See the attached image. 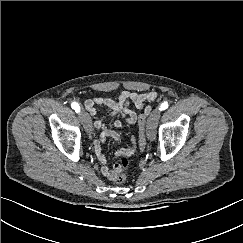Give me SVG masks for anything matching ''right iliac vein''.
<instances>
[{
	"label": "right iliac vein",
	"instance_id": "right-iliac-vein-1",
	"mask_svg": "<svg viewBox=\"0 0 243 243\" xmlns=\"http://www.w3.org/2000/svg\"><path fill=\"white\" fill-rule=\"evenodd\" d=\"M80 119L85 131L90 135L92 132V122L91 118L85 111L80 112Z\"/></svg>",
	"mask_w": 243,
	"mask_h": 243
}]
</instances>
